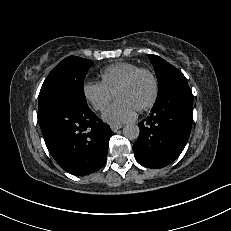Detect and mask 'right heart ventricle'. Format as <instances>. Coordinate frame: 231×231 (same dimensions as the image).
<instances>
[{"mask_svg": "<svg viewBox=\"0 0 231 231\" xmlns=\"http://www.w3.org/2000/svg\"><path fill=\"white\" fill-rule=\"evenodd\" d=\"M140 68L137 64L130 62H117L105 67L100 72L101 82L113 93L120 83L132 72Z\"/></svg>", "mask_w": 231, "mask_h": 231, "instance_id": "right-heart-ventricle-1", "label": "right heart ventricle"}]
</instances>
